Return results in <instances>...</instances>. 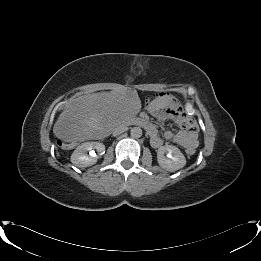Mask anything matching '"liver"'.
Masks as SVG:
<instances>
[{"label":"liver","instance_id":"1","mask_svg":"<svg viewBox=\"0 0 261 261\" xmlns=\"http://www.w3.org/2000/svg\"><path fill=\"white\" fill-rule=\"evenodd\" d=\"M133 92V93H132ZM127 88L84 95L65 109L53 127V133L64 141L102 138L138 109L137 92Z\"/></svg>","mask_w":261,"mask_h":261}]
</instances>
